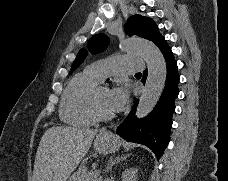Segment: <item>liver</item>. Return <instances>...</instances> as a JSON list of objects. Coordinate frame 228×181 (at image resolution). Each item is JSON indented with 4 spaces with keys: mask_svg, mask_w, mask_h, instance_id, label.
Listing matches in <instances>:
<instances>
[{
    "mask_svg": "<svg viewBox=\"0 0 228 181\" xmlns=\"http://www.w3.org/2000/svg\"><path fill=\"white\" fill-rule=\"evenodd\" d=\"M98 129L51 127L37 149L32 181H67L86 153Z\"/></svg>",
    "mask_w": 228,
    "mask_h": 181,
    "instance_id": "liver-1",
    "label": "liver"
}]
</instances>
